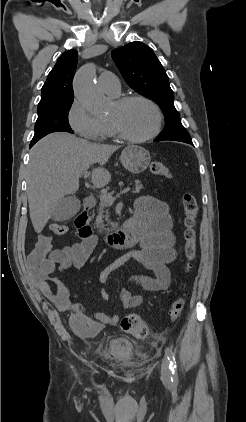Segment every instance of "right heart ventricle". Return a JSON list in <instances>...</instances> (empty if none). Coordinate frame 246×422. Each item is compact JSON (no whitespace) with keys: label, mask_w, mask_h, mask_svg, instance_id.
I'll list each match as a JSON object with an SVG mask.
<instances>
[{"label":"right heart ventricle","mask_w":246,"mask_h":422,"mask_svg":"<svg viewBox=\"0 0 246 422\" xmlns=\"http://www.w3.org/2000/svg\"><path fill=\"white\" fill-rule=\"evenodd\" d=\"M105 124L107 125V135L108 137H113L116 135L115 131L113 130V128L111 127V125L108 122H105Z\"/></svg>","instance_id":"1"}]
</instances>
